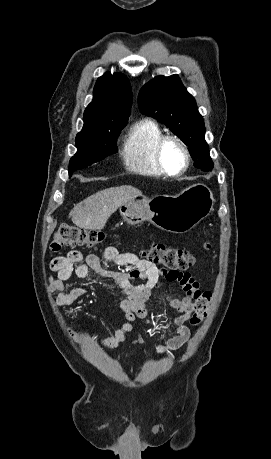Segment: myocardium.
Returning <instances> with one entry per match:
<instances>
[{
	"instance_id": "f54148a6",
	"label": "myocardium",
	"mask_w": 271,
	"mask_h": 459,
	"mask_svg": "<svg viewBox=\"0 0 271 459\" xmlns=\"http://www.w3.org/2000/svg\"><path fill=\"white\" fill-rule=\"evenodd\" d=\"M170 139L177 140L181 144V146L184 149L185 154H186V159H187L186 166L182 171H179V172L170 171L169 168L167 167L165 161H164V158H163L164 144ZM154 157H155V161H156L157 165L164 172V174L169 176V177H172V178H177V177H180V176L186 174L188 172V170L190 169L191 164H192V152H191V149H190L188 143L185 141V139L183 137H181L180 135H178L176 133H165V134H162L157 139V141L155 143V148H154Z\"/></svg>"
}]
</instances>
